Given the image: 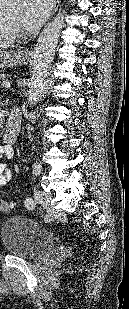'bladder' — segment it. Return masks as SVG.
<instances>
[{"mask_svg":"<svg viewBox=\"0 0 129 309\" xmlns=\"http://www.w3.org/2000/svg\"><path fill=\"white\" fill-rule=\"evenodd\" d=\"M0 238L9 254L22 258H35L55 246V238L49 230L21 216L9 218L2 224Z\"/></svg>","mask_w":129,"mask_h":309,"instance_id":"bladder-1","label":"bladder"}]
</instances>
